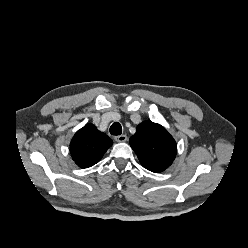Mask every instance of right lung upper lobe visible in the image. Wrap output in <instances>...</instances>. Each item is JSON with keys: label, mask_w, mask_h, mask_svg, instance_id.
Segmentation results:
<instances>
[{"label": "right lung upper lobe", "mask_w": 248, "mask_h": 248, "mask_svg": "<svg viewBox=\"0 0 248 248\" xmlns=\"http://www.w3.org/2000/svg\"><path fill=\"white\" fill-rule=\"evenodd\" d=\"M112 144L105 133L92 124H86L72 138L70 153L79 167L88 168L99 162Z\"/></svg>", "instance_id": "1"}]
</instances>
